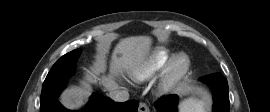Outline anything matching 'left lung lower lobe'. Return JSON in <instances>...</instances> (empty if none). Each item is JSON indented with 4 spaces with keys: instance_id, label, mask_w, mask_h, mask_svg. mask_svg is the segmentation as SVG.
<instances>
[{
    "instance_id": "obj_1",
    "label": "left lung lower lobe",
    "mask_w": 270,
    "mask_h": 112,
    "mask_svg": "<svg viewBox=\"0 0 270 112\" xmlns=\"http://www.w3.org/2000/svg\"><path fill=\"white\" fill-rule=\"evenodd\" d=\"M200 81L206 83L213 92V112H230L227 79L220 73L201 77ZM157 112H177L176 95H168L155 105Z\"/></svg>"
}]
</instances>
